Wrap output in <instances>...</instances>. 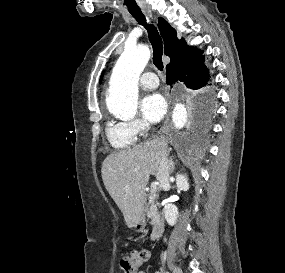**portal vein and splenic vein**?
Instances as JSON below:
<instances>
[{
  "instance_id": "18ae733b",
  "label": "portal vein and splenic vein",
  "mask_w": 285,
  "mask_h": 273,
  "mask_svg": "<svg viewBox=\"0 0 285 273\" xmlns=\"http://www.w3.org/2000/svg\"><path fill=\"white\" fill-rule=\"evenodd\" d=\"M157 185H158L157 182H153V183L151 184V190H152V191H155V190L157 189Z\"/></svg>"
}]
</instances>
